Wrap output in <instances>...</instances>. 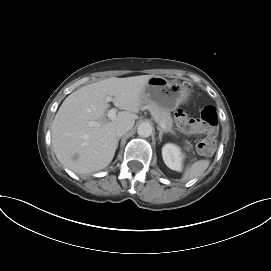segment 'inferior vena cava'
I'll list each match as a JSON object with an SVG mask.
<instances>
[{
  "mask_svg": "<svg viewBox=\"0 0 271 271\" xmlns=\"http://www.w3.org/2000/svg\"><path fill=\"white\" fill-rule=\"evenodd\" d=\"M134 126V121L133 120H122L119 122L116 126V135L118 137L124 135L126 132H128L132 127Z\"/></svg>",
  "mask_w": 271,
  "mask_h": 271,
  "instance_id": "1",
  "label": "inferior vena cava"
}]
</instances>
